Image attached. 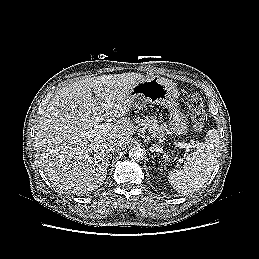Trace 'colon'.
Masks as SVG:
<instances>
[{
  "label": "colon",
  "instance_id": "5ec220e1",
  "mask_svg": "<svg viewBox=\"0 0 259 259\" xmlns=\"http://www.w3.org/2000/svg\"><path fill=\"white\" fill-rule=\"evenodd\" d=\"M185 101L192 113L193 128L196 131H200L204 127L207 120V116L203 108V101L195 93L187 94Z\"/></svg>",
  "mask_w": 259,
  "mask_h": 259
}]
</instances>
